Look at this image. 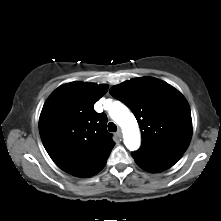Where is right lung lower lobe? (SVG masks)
<instances>
[{"instance_id": "1", "label": "right lung lower lobe", "mask_w": 221, "mask_h": 221, "mask_svg": "<svg viewBox=\"0 0 221 221\" xmlns=\"http://www.w3.org/2000/svg\"><path fill=\"white\" fill-rule=\"evenodd\" d=\"M106 162L104 164H102L101 166H99L97 169L91 171V172H88V173H85L81 176H78V177H90V176H93L95 175L96 173H98L100 170H102V168L105 166Z\"/></svg>"}]
</instances>
